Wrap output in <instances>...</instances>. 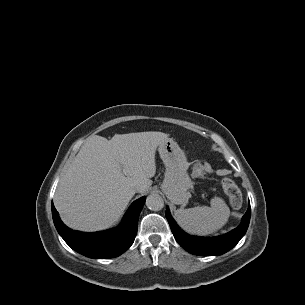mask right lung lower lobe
Instances as JSON below:
<instances>
[{
    "mask_svg": "<svg viewBox=\"0 0 305 305\" xmlns=\"http://www.w3.org/2000/svg\"><path fill=\"white\" fill-rule=\"evenodd\" d=\"M145 200L146 197H142L134 201L118 227L101 232L86 233L68 228L61 221L53 203L52 216L58 233L73 250L89 258H113L121 255L133 244L139 214Z\"/></svg>",
    "mask_w": 305,
    "mask_h": 305,
    "instance_id": "obj_1",
    "label": "right lung lower lobe"
}]
</instances>
